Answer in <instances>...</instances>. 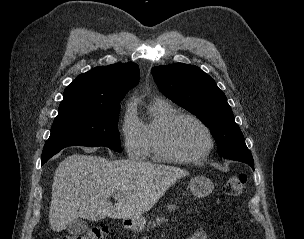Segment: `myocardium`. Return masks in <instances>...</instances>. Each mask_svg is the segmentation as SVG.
<instances>
[{
    "instance_id": "myocardium-1",
    "label": "myocardium",
    "mask_w": 304,
    "mask_h": 239,
    "mask_svg": "<svg viewBox=\"0 0 304 239\" xmlns=\"http://www.w3.org/2000/svg\"><path fill=\"white\" fill-rule=\"evenodd\" d=\"M184 119H190L195 123H197L203 129L206 135L207 145L205 149L197 155H193V156L181 155L177 153L172 146L171 139H172L173 130L176 127V125ZM158 147L165 161L172 163H180V164H191L204 160L211 153L214 147V138L208 125L198 116L191 113L179 112L174 116H172L163 126L159 136Z\"/></svg>"
}]
</instances>
